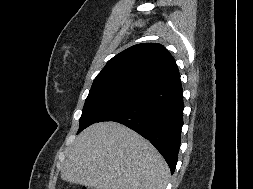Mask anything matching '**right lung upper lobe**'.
Instances as JSON below:
<instances>
[{
    "instance_id": "obj_1",
    "label": "right lung upper lobe",
    "mask_w": 253,
    "mask_h": 189,
    "mask_svg": "<svg viewBox=\"0 0 253 189\" xmlns=\"http://www.w3.org/2000/svg\"><path fill=\"white\" fill-rule=\"evenodd\" d=\"M180 81L176 62L157 43L134 45L110 59L96 76L92 89L128 86L146 91Z\"/></svg>"
}]
</instances>
